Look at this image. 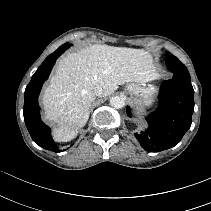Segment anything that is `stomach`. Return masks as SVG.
Returning a JSON list of instances; mask_svg holds the SVG:
<instances>
[{
  "instance_id": "obj_1",
  "label": "stomach",
  "mask_w": 211,
  "mask_h": 211,
  "mask_svg": "<svg viewBox=\"0 0 211 211\" xmlns=\"http://www.w3.org/2000/svg\"><path fill=\"white\" fill-rule=\"evenodd\" d=\"M125 91L132 102L140 107H150L154 103L157 93L154 86L139 83L128 84Z\"/></svg>"
}]
</instances>
